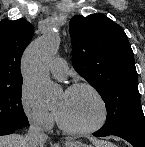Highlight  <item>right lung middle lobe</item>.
<instances>
[{
	"label": "right lung middle lobe",
	"mask_w": 145,
	"mask_h": 147,
	"mask_svg": "<svg viewBox=\"0 0 145 147\" xmlns=\"http://www.w3.org/2000/svg\"><path fill=\"white\" fill-rule=\"evenodd\" d=\"M22 83L0 86V130L20 129L28 125L21 104Z\"/></svg>",
	"instance_id": "obj_1"
}]
</instances>
